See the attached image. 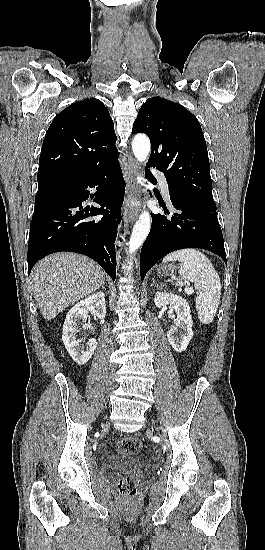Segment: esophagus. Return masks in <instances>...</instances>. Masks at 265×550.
Returning <instances> with one entry per match:
<instances>
[{"label": "esophagus", "mask_w": 265, "mask_h": 550, "mask_svg": "<svg viewBox=\"0 0 265 550\" xmlns=\"http://www.w3.org/2000/svg\"><path fill=\"white\" fill-rule=\"evenodd\" d=\"M126 175H127V188L129 196H134L138 194V164L133 157H129L128 163L126 166ZM139 214V207H130L125 212V219L129 222L134 221Z\"/></svg>", "instance_id": "34e87169"}]
</instances>
